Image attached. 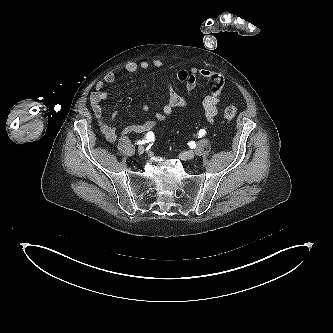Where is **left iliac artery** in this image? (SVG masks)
<instances>
[{
	"label": "left iliac artery",
	"instance_id": "obj_1",
	"mask_svg": "<svg viewBox=\"0 0 333 333\" xmlns=\"http://www.w3.org/2000/svg\"><path fill=\"white\" fill-rule=\"evenodd\" d=\"M205 134H206V131L204 130V129H201L199 132H198V137H203V136H205Z\"/></svg>",
	"mask_w": 333,
	"mask_h": 333
}]
</instances>
